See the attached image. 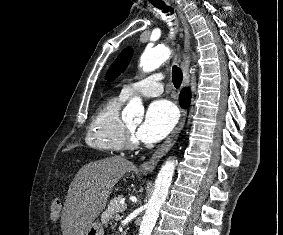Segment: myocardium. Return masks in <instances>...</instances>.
<instances>
[{
	"mask_svg": "<svg viewBox=\"0 0 283 235\" xmlns=\"http://www.w3.org/2000/svg\"><path fill=\"white\" fill-rule=\"evenodd\" d=\"M122 146L124 149L133 150L137 148L138 141L133 131H131L126 124L122 128Z\"/></svg>",
	"mask_w": 283,
	"mask_h": 235,
	"instance_id": "f54148a6",
	"label": "myocardium"
}]
</instances>
